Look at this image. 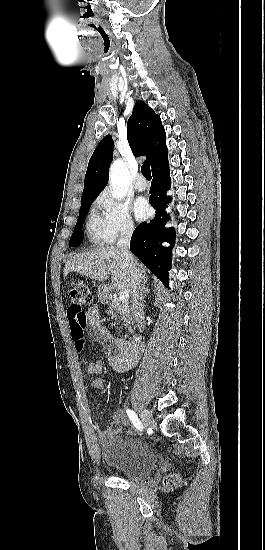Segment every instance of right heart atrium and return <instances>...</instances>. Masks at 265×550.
<instances>
[{
	"mask_svg": "<svg viewBox=\"0 0 265 550\" xmlns=\"http://www.w3.org/2000/svg\"><path fill=\"white\" fill-rule=\"evenodd\" d=\"M96 203L103 212L104 229L109 241L133 234L135 225L126 202L113 197L109 191H104Z\"/></svg>",
	"mask_w": 265,
	"mask_h": 550,
	"instance_id": "d8ad5b80",
	"label": "right heart atrium"
}]
</instances>
